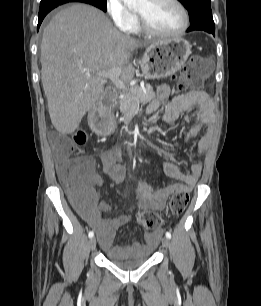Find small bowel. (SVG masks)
<instances>
[{
  "label": "small bowel",
  "mask_w": 261,
  "mask_h": 306,
  "mask_svg": "<svg viewBox=\"0 0 261 306\" xmlns=\"http://www.w3.org/2000/svg\"><path fill=\"white\" fill-rule=\"evenodd\" d=\"M170 88L167 85L159 87L157 98L147 107L146 113L152 114L169 98ZM186 113L185 120L191 124L185 138L190 139L197 136L201 131L206 134L199 140L197 148V160L192 164L191 171L185 174L172 162L164 164L165 175L179 182L169 183L155 187L152 183L138 180L135 194L138 207L141 210H163L167 205L168 198L178 191L189 192L192 190L202 172V158L208 151L214 126L213 102L203 91L191 92L186 95L174 97L166 104L163 121L171 123ZM57 156V168L65 163ZM87 164L89 174L87 185L91 195L83 202L81 214L83 219L92 227L97 235L103 250L110 255H122L126 252L138 253L144 249H153L161 239V232L146 234V244L132 243L124 246H113L116 231L129 221V216L121 215L104 217L103 214L111 210L110 204L105 200H98L96 188L102 184V177L96 171L95 161L91 157H81ZM122 148L112 147L102 155L103 171L110 179L119 184L123 181L126 169L121 163Z\"/></svg>",
  "instance_id": "1"
}]
</instances>
